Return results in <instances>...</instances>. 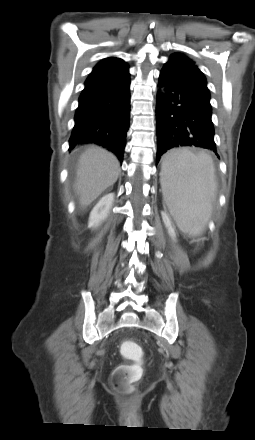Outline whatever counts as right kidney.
I'll return each mask as SVG.
<instances>
[{
    "label": "right kidney",
    "instance_id": "1",
    "mask_svg": "<svg viewBox=\"0 0 255 440\" xmlns=\"http://www.w3.org/2000/svg\"><path fill=\"white\" fill-rule=\"evenodd\" d=\"M114 201V193H109L103 196L99 202L94 206L90 213L88 226L90 228L98 227L109 214Z\"/></svg>",
    "mask_w": 255,
    "mask_h": 440
}]
</instances>
